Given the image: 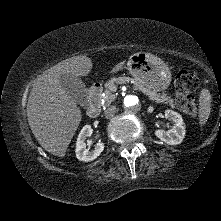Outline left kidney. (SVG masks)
Returning <instances> with one entry per match:
<instances>
[{
    "label": "left kidney",
    "mask_w": 221,
    "mask_h": 221,
    "mask_svg": "<svg viewBox=\"0 0 221 221\" xmlns=\"http://www.w3.org/2000/svg\"><path fill=\"white\" fill-rule=\"evenodd\" d=\"M165 118L170 119L174 122L173 128L165 131L158 129L155 131V135L163 142L169 145L180 144L185 137V124L182 116L172 110L165 111Z\"/></svg>",
    "instance_id": "obj_1"
}]
</instances>
